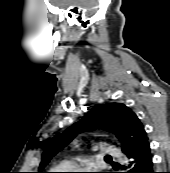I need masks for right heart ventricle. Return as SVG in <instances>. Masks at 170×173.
<instances>
[{
    "instance_id": "obj_1",
    "label": "right heart ventricle",
    "mask_w": 170,
    "mask_h": 173,
    "mask_svg": "<svg viewBox=\"0 0 170 173\" xmlns=\"http://www.w3.org/2000/svg\"><path fill=\"white\" fill-rule=\"evenodd\" d=\"M61 171H69L73 168V165L69 161H63L58 167Z\"/></svg>"
}]
</instances>
